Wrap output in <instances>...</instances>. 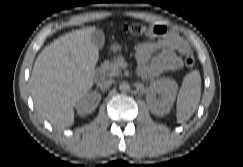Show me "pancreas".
I'll return each mask as SVG.
<instances>
[{"label":"pancreas","instance_id":"cf45deb5","mask_svg":"<svg viewBox=\"0 0 243 167\" xmlns=\"http://www.w3.org/2000/svg\"><path fill=\"white\" fill-rule=\"evenodd\" d=\"M124 63V58L118 56L113 59L111 62H105L103 64V69L106 71L107 76L115 77L121 75V65Z\"/></svg>","mask_w":243,"mask_h":167}]
</instances>
